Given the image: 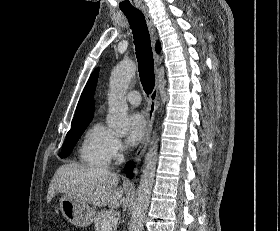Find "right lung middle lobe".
<instances>
[{
  "label": "right lung middle lobe",
  "mask_w": 280,
  "mask_h": 231,
  "mask_svg": "<svg viewBox=\"0 0 280 231\" xmlns=\"http://www.w3.org/2000/svg\"><path fill=\"white\" fill-rule=\"evenodd\" d=\"M89 123L90 122L71 128V130L67 133L62 151L59 154L60 158H66L71 154L73 147L75 146Z\"/></svg>",
  "instance_id": "right-lung-middle-lobe-1"
}]
</instances>
